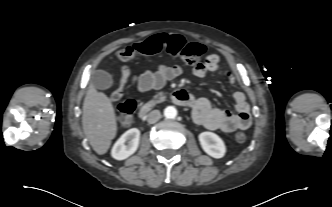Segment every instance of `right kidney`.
<instances>
[{
    "mask_svg": "<svg viewBox=\"0 0 332 207\" xmlns=\"http://www.w3.org/2000/svg\"><path fill=\"white\" fill-rule=\"evenodd\" d=\"M139 141L140 131L137 128L129 129L116 141L111 150V156L116 160L128 158L138 149Z\"/></svg>",
    "mask_w": 332,
    "mask_h": 207,
    "instance_id": "obj_1",
    "label": "right kidney"
}]
</instances>
